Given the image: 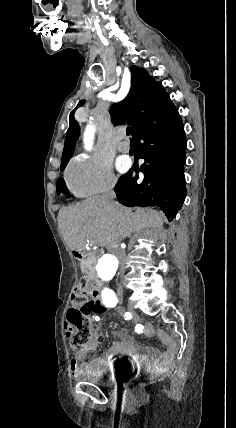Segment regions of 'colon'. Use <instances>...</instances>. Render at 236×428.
<instances>
[{
	"instance_id": "obj_1",
	"label": "colon",
	"mask_w": 236,
	"mask_h": 428,
	"mask_svg": "<svg viewBox=\"0 0 236 428\" xmlns=\"http://www.w3.org/2000/svg\"><path fill=\"white\" fill-rule=\"evenodd\" d=\"M70 303L64 325L70 346L79 352L93 351L97 347L98 336L90 316L103 312L104 307L92 296L89 283L84 279L74 286Z\"/></svg>"
}]
</instances>
